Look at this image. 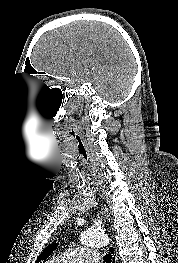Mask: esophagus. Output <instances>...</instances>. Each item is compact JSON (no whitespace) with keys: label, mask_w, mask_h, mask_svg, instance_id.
I'll return each instance as SVG.
<instances>
[{"label":"esophagus","mask_w":178,"mask_h":263,"mask_svg":"<svg viewBox=\"0 0 178 263\" xmlns=\"http://www.w3.org/2000/svg\"><path fill=\"white\" fill-rule=\"evenodd\" d=\"M108 216V213H107ZM108 252L111 254L112 256V263H117V254H116V250L114 248V246L111 244L108 247Z\"/></svg>","instance_id":"34e87169"}]
</instances>
